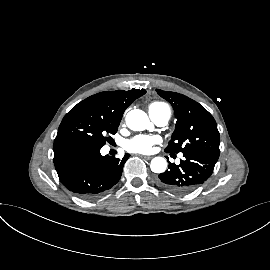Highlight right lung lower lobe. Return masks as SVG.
Segmentation results:
<instances>
[{
  "instance_id": "98d812e1",
  "label": "right lung lower lobe",
  "mask_w": 270,
  "mask_h": 270,
  "mask_svg": "<svg viewBox=\"0 0 270 270\" xmlns=\"http://www.w3.org/2000/svg\"><path fill=\"white\" fill-rule=\"evenodd\" d=\"M54 165L61 183L82 198H93L109 190L120 179L122 159L102 156L100 147L78 141L54 142Z\"/></svg>"
}]
</instances>
